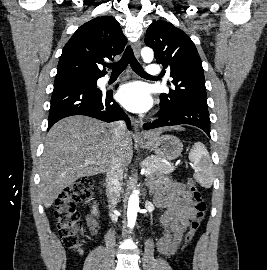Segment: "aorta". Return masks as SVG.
<instances>
[{"instance_id":"obj_1","label":"aorta","mask_w":267,"mask_h":270,"mask_svg":"<svg viewBox=\"0 0 267 270\" xmlns=\"http://www.w3.org/2000/svg\"><path fill=\"white\" fill-rule=\"evenodd\" d=\"M141 56L145 63H150L152 62L154 57L153 50L149 47H144L141 50ZM138 210H139V192L134 191L129 197L127 209L128 226L130 228H133L135 226Z\"/></svg>"}]
</instances>
